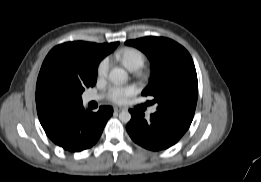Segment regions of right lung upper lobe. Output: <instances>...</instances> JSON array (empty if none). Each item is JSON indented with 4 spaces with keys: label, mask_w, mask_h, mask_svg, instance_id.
Masks as SVG:
<instances>
[{
    "label": "right lung upper lobe",
    "mask_w": 261,
    "mask_h": 182,
    "mask_svg": "<svg viewBox=\"0 0 261 182\" xmlns=\"http://www.w3.org/2000/svg\"><path fill=\"white\" fill-rule=\"evenodd\" d=\"M119 42L96 44L84 41L67 42L54 47L45 58L36 85L37 113L42 126L51 122L61 111L77 104L71 98L47 86L45 75L52 64L82 72L111 53Z\"/></svg>",
    "instance_id": "cb5924a9"
}]
</instances>
